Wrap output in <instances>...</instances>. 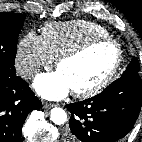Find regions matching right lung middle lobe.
<instances>
[{
    "label": "right lung middle lobe",
    "instance_id": "dd1d6c3e",
    "mask_svg": "<svg viewBox=\"0 0 142 142\" xmlns=\"http://www.w3.org/2000/svg\"><path fill=\"white\" fill-rule=\"evenodd\" d=\"M24 20L22 14L0 13V75H16L14 61Z\"/></svg>",
    "mask_w": 142,
    "mask_h": 142
}]
</instances>
